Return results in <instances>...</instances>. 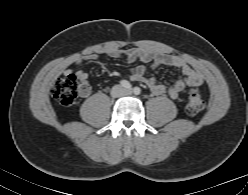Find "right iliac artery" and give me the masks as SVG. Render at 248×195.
I'll use <instances>...</instances> for the list:
<instances>
[{
	"mask_svg": "<svg viewBox=\"0 0 248 195\" xmlns=\"http://www.w3.org/2000/svg\"><path fill=\"white\" fill-rule=\"evenodd\" d=\"M120 85L126 89H131L132 88V85L130 84L129 81L127 80H121L120 81Z\"/></svg>",
	"mask_w": 248,
	"mask_h": 195,
	"instance_id": "right-iliac-artery-1",
	"label": "right iliac artery"
}]
</instances>
